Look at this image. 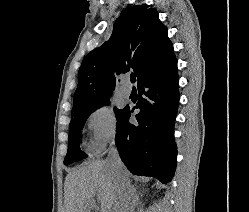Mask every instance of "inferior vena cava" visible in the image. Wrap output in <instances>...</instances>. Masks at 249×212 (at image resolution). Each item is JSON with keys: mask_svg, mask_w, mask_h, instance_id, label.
Masks as SVG:
<instances>
[{"mask_svg": "<svg viewBox=\"0 0 249 212\" xmlns=\"http://www.w3.org/2000/svg\"><path fill=\"white\" fill-rule=\"evenodd\" d=\"M109 164L115 168V188L118 200L116 206L117 212H133V194L128 172L121 162L119 152L115 144H111L108 150Z\"/></svg>", "mask_w": 249, "mask_h": 212, "instance_id": "602c4592", "label": "inferior vena cava"}]
</instances>
